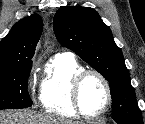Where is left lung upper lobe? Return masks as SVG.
I'll list each match as a JSON object with an SVG mask.
<instances>
[{
    "label": "left lung upper lobe",
    "mask_w": 145,
    "mask_h": 124,
    "mask_svg": "<svg viewBox=\"0 0 145 124\" xmlns=\"http://www.w3.org/2000/svg\"><path fill=\"white\" fill-rule=\"evenodd\" d=\"M60 44L73 50L109 81L112 117L118 124H143L121 49L99 14L87 7H63L53 20Z\"/></svg>",
    "instance_id": "obj_1"
}]
</instances>
